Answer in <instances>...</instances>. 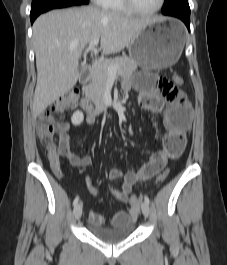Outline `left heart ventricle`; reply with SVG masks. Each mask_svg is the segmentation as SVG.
Listing matches in <instances>:
<instances>
[{
  "instance_id": "left-heart-ventricle-1",
  "label": "left heart ventricle",
  "mask_w": 227,
  "mask_h": 265,
  "mask_svg": "<svg viewBox=\"0 0 227 265\" xmlns=\"http://www.w3.org/2000/svg\"><path fill=\"white\" fill-rule=\"evenodd\" d=\"M133 3L140 10H151L158 5L159 0H133Z\"/></svg>"
}]
</instances>
